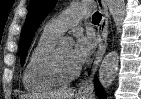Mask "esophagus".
<instances>
[{"instance_id": "34e87169", "label": "esophagus", "mask_w": 141, "mask_h": 99, "mask_svg": "<svg viewBox=\"0 0 141 99\" xmlns=\"http://www.w3.org/2000/svg\"><path fill=\"white\" fill-rule=\"evenodd\" d=\"M97 5L102 14L97 30L98 49L95 54L91 73L85 78L78 89V95L82 97H88L93 94V79L107 48L109 11L104 0H97Z\"/></svg>"}]
</instances>
